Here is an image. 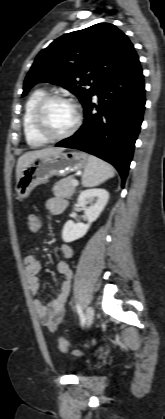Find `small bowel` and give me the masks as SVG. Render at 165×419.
Here are the masks:
<instances>
[{"label":"small bowel","instance_id":"c3829d8e","mask_svg":"<svg viewBox=\"0 0 165 419\" xmlns=\"http://www.w3.org/2000/svg\"><path fill=\"white\" fill-rule=\"evenodd\" d=\"M66 206L67 202L61 198H50L46 201V209L53 215L63 213ZM59 252L62 259L58 261L56 270L63 277V281L57 296L49 302H42L41 300L36 299L33 303L42 325L52 332H55L58 327L65 322V306L68 300L70 282L73 275L68 263V260H70L74 254L72 247L68 244H62ZM24 272L30 293L32 295L38 294L40 291L39 274L41 272V265L34 256L29 255L25 258Z\"/></svg>","mask_w":165,"mask_h":419}]
</instances>
